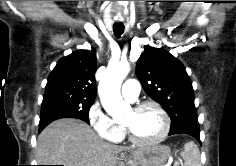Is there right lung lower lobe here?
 Listing matches in <instances>:
<instances>
[{
  "instance_id": "obj_1",
  "label": "right lung lower lobe",
  "mask_w": 236,
  "mask_h": 166,
  "mask_svg": "<svg viewBox=\"0 0 236 166\" xmlns=\"http://www.w3.org/2000/svg\"><path fill=\"white\" fill-rule=\"evenodd\" d=\"M47 125L39 126V132H41Z\"/></svg>"
}]
</instances>
